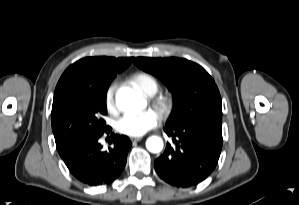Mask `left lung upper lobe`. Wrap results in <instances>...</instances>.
<instances>
[{
	"label": "left lung upper lobe",
	"mask_w": 299,
	"mask_h": 205,
	"mask_svg": "<svg viewBox=\"0 0 299 205\" xmlns=\"http://www.w3.org/2000/svg\"><path fill=\"white\" fill-rule=\"evenodd\" d=\"M134 63L157 76L172 92L175 106L169 125L222 117L219 90L200 65L187 59L137 57Z\"/></svg>",
	"instance_id": "obj_1"
}]
</instances>
